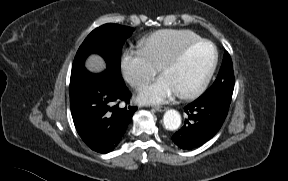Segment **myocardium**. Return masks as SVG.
<instances>
[{
	"instance_id": "1",
	"label": "myocardium",
	"mask_w": 288,
	"mask_h": 181,
	"mask_svg": "<svg viewBox=\"0 0 288 181\" xmlns=\"http://www.w3.org/2000/svg\"><path fill=\"white\" fill-rule=\"evenodd\" d=\"M201 44H209L214 48V51H215L214 62L212 64V67H211L210 71L208 72L207 76L204 78V80L200 84H198L196 87H194L190 90H186V91L177 93V95L180 98L188 99V98L196 97V96L200 95L207 88V86L209 85L210 81L212 80V78L216 72V69H217V66L219 63V50H218V47L216 46V44L214 42L208 40V39H199L197 41L189 43V44L185 45L184 47H182L171 58H169L167 61H165L161 65V67L159 68L161 75H163L167 70L178 65L192 49H194L195 47H197Z\"/></svg>"
}]
</instances>
